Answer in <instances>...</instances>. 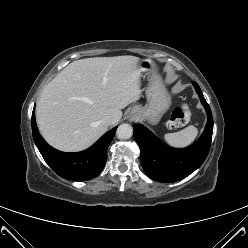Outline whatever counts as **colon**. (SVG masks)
Masks as SVG:
<instances>
[{"mask_svg":"<svg viewBox=\"0 0 248 248\" xmlns=\"http://www.w3.org/2000/svg\"><path fill=\"white\" fill-rule=\"evenodd\" d=\"M191 117L190 108L188 105L184 104L180 108H176L170 117L168 126L171 128L179 127L185 125L189 122Z\"/></svg>","mask_w":248,"mask_h":248,"instance_id":"obj_1","label":"colon"}]
</instances>
